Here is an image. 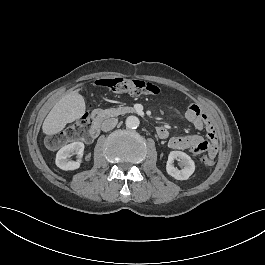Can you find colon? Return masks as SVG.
Masks as SVG:
<instances>
[{
    "mask_svg": "<svg viewBox=\"0 0 265 265\" xmlns=\"http://www.w3.org/2000/svg\"><path fill=\"white\" fill-rule=\"evenodd\" d=\"M95 84L100 89L109 90L116 94H128L135 97L159 94L161 91L158 85L139 79H125L120 77L100 78L96 80ZM76 133L77 131L74 129L67 128L50 135L47 138V143L51 147L59 146L65 141L74 138ZM201 161L206 166L214 164L211 159L207 158V155H205Z\"/></svg>",
    "mask_w": 265,
    "mask_h": 265,
    "instance_id": "5ec220e1",
    "label": "colon"
}]
</instances>
